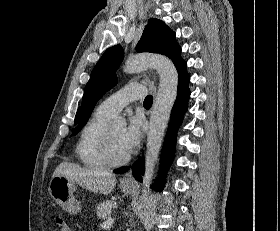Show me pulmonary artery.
<instances>
[{"label": "pulmonary artery", "instance_id": "obj_1", "mask_svg": "<svg viewBox=\"0 0 280 231\" xmlns=\"http://www.w3.org/2000/svg\"><path fill=\"white\" fill-rule=\"evenodd\" d=\"M146 94L147 89L143 85L137 83L129 84L103 100L96 110L114 116L126 105L143 99Z\"/></svg>", "mask_w": 280, "mask_h": 231}]
</instances>
